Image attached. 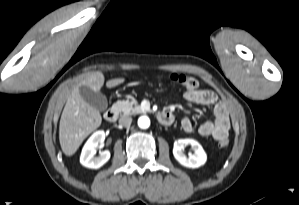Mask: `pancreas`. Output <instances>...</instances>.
<instances>
[{
  "mask_svg": "<svg viewBox=\"0 0 299 205\" xmlns=\"http://www.w3.org/2000/svg\"><path fill=\"white\" fill-rule=\"evenodd\" d=\"M114 107L124 115L140 114L144 112L136 100L118 101L114 104Z\"/></svg>",
  "mask_w": 299,
  "mask_h": 205,
  "instance_id": "1",
  "label": "pancreas"
}]
</instances>
